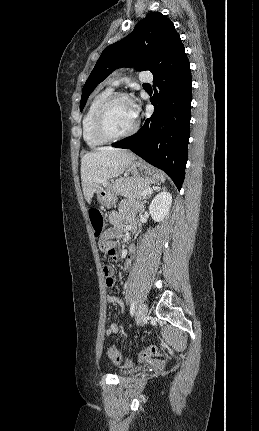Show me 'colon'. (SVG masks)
Masks as SVG:
<instances>
[{
	"label": "colon",
	"instance_id": "1",
	"mask_svg": "<svg viewBox=\"0 0 259 431\" xmlns=\"http://www.w3.org/2000/svg\"><path fill=\"white\" fill-rule=\"evenodd\" d=\"M88 215L94 235L99 238L100 250L109 260L115 261L117 259V250L114 243L104 236L105 221L102 212L97 208H90ZM108 355L117 365H125L129 363V359L124 358L114 345L109 347ZM160 355V350L156 346L152 345L138 354V360L143 361Z\"/></svg>",
	"mask_w": 259,
	"mask_h": 431
}]
</instances>
